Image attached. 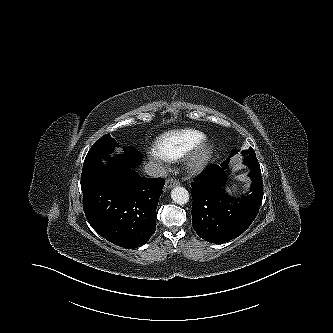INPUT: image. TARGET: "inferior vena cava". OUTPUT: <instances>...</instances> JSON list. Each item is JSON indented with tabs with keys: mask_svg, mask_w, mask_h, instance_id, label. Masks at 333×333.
<instances>
[{
	"mask_svg": "<svg viewBox=\"0 0 333 333\" xmlns=\"http://www.w3.org/2000/svg\"><path fill=\"white\" fill-rule=\"evenodd\" d=\"M145 172L147 173V175L154 178L167 177L168 175L167 168L164 165L154 162H150L145 166Z\"/></svg>",
	"mask_w": 333,
	"mask_h": 333,
	"instance_id": "602c4592",
	"label": "inferior vena cava"
}]
</instances>
